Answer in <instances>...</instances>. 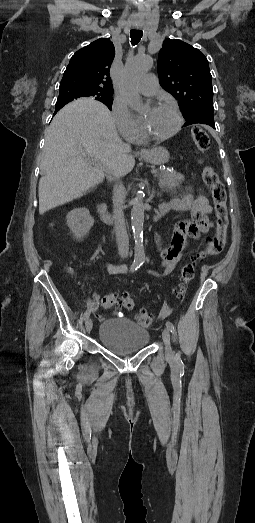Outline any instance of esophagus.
Wrapping results in <instances>:
<instances>
[{
    "label": "esophagus",
    "mask_w": 255,
    "mask_h": 523,
    "mask_svg": "<svg viewBox=\"0 0 255 523\" xmlns=\"http://www.w3.org/2000/svg\"><path fill=\"white\" fill-rule=\"evenodd\" d=\"M141 154H146L147 153V150L145 148H143L140 152Z\"/></svg>",
    "instance_id": "1"
}]
</instances>
